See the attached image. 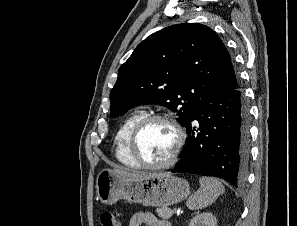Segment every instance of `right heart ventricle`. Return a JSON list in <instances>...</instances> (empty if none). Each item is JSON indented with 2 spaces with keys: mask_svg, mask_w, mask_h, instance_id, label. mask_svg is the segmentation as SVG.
Masks as SVG:
<instances>
[{
  "mask_svg": "<svg viewBox=\"0 0 297 226\" xmlns=\"http://www.w3.org/2000/svg\"><path fill=\"white\" fill-rule=\"evenodd\" d=\"M145 115L146 113L143 110L132 112L122 121L115 134V156L116 159L126 167L139 168L137 163L129 154L128 138L133 126L139 119H141Z\"/></svg>",
  "mask_w": 297,
  "mask_h": 226,
  "instance_id": "obj_1",
  "label": "right heart ventricle"
}]
</instances>
